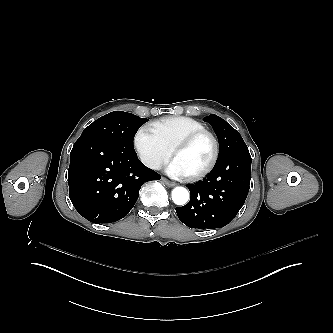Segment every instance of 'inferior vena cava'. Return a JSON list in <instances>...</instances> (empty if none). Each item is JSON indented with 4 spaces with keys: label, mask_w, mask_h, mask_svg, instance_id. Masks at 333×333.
Instances as JSON below:
<instances>
[{
    "label": "inferior vena cava",
    "mask_w": 333,
    "mask_h": 333,
    "mask_svg": "<svg viewBox=\"0 0 333 333\" xmlns=\"http://www.w3.org/2000/svg\"><path fill=\"white\" fill-rule=\"evenodd\" d=\"M152 168H153V169H156V170L161 169V164H159V163H154V164L152 165Z\"/></svg>",
    "instance_id": "602c4592"
}]
</instances>
